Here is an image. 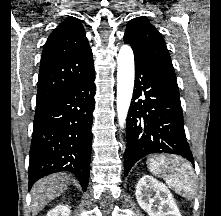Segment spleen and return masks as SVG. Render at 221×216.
<instances>
[{"label": "spleen", "instance_id": "1", "mask_svg": "<svg viewBox=\"0 0 221 216\" xmlns=\"http://www.w3.org/2000/svg\"><path fill=\"white\" fill-rule=\"evenodd\" d=\"M150 172L165 180L169 188L183 197L195 194V177L192 166L179 156L150 157L147 160Z\"/></svg>", "mask_w": 221, "mask_h": 216}]
</instances>
